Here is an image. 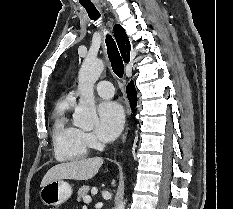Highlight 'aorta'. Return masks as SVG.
I'll return each instance as SVG.
<instances>
[{
    "mask_svg": "<svg viewBox=\"0 0 233 209\" xmlns=\"http://www.w3.org/2000/svg\"><path fill=\"white\" fill-rule=\"evenodd\" d=\"M104 69L100 59H85L78 75L80 100L75 108L73 124L84 130H91L97 119L94 85ZM126 201H122L116 209H125Z\"/></svg>",
    "mask_w": 233,
    "mask_h": 209,
    "instance_id": "aorta-1",
    "label": "aorta"
}]
</instances>
